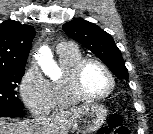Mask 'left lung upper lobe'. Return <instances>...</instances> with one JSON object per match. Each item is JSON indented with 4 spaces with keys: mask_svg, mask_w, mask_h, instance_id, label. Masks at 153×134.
I'll return each mask as SVG.
<instances>
[{
    "mask_svg": "<svg viewBox=\"0 0 153 134\" xmlns=\"http://www.w3.org/2000/svg\"><path fill=\"white\" fill-rule=\"evenodd\" d=\"M63 30L101 59L118 79L128 80L122 54L110 34L81 18L65 23Z\"/></svg>",
    "mask_w": 153,
    "mask_h": 134,
    "instance_id": "5c2ea615",
    "label": "left lung upper lobe"
}]
</instances>
